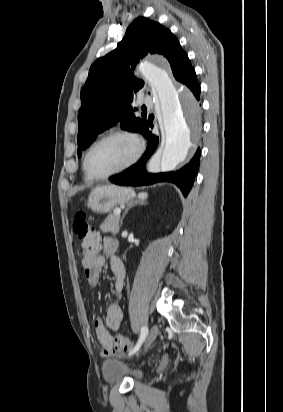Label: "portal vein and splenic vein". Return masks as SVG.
<instances>
[{"instance_id": "obj_1", "label": "portal vein and splenic vein", "mask_w": 283, "mask_h": 412, "mask_svg": "<svg viewBox=\"0 0 283 412\" xmlns=\"http://www.w3.org/2000/svg\"><path fill=\"white\" fill-rule=\"evenodd\" d=\"M115 213L118 214V215H120L121 210H120V209H115Z\"/></svg>"}]
</instances>
